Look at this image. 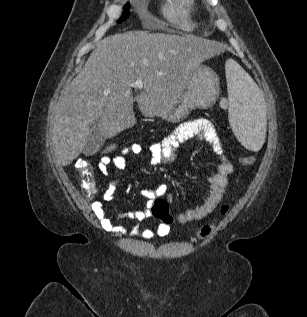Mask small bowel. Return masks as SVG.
<instances>
[{
    "mask_svg": "<svg viewBox=\"0 0 307 317\" xmlns=\"http://www.w3.org/2000/svg\"><path fill=\"white\" fill-rule=\"evenodd\" d=\"M191 139L205 141L208 143L214 152L220 156V163L217 166L216 172L208 178V196L199 205L177 214L176 221L180 224L203 219L211 213L221 201L225 188L228 185L229 177L234 171L233 164L224 155V149L214 124L209 119L203 117L183 122L161 141L149 145L148 150L150 152V164L154 167L172 166L175 159L176 148H178V146L183 142ZM143 150L144 148L141 144L133 143L128 146L124 156L112 158L110 156L103 155L100 158L98 169L103 176L108 177L110 175L111 165H113L117 170H124L126 166V156L130 154H141ZM116 189V182H108L103 194V201L113 200ZM129 190L130 189H128L127 192H129ZM140 194L145 199L144 208L137 211L123 212L120 214V217L142 221L152 215L151 207L155 199L164 195H167L170 199H172V196L165 184H160L152 189H142ZM103 201L98 200L91 204V209L100 222L101 227L105 231L113 232L115 234L123 233L125 229L122 226L114 225L112 220L107 216L103 206ZM169 231V226L163 223H160L157 226V233L161 236L167 235ZM153 234L154 232L151 229L146 228L141 230L138 226L133 227L130 232L131 236L139 235L143 238H150Z\"/></svg>",
    "mask_w": 307,
    "mask_h": 317,
    "instance_id": "1",
    "label": "small bowel"
}]
</instances>
